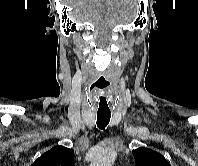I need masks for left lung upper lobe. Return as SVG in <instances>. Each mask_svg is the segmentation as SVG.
I'll return each instance as SVG.
<instances>
[{
    "instance_id": "5c2ea615",
    "label": "left lung upper lobe",
    "mask_w": 198,
    "mask_h": 166,
    "mask_svg": "<svg viewBox=\"0 0 198 166\" xmlns=\"http://www.w3.org/2000/svg\"><path fill=\"white\" fill-rule=\"evenodd\" d=\"M132 154L136 166H170L161 154L145 147L132 150Z\"/></svg>"
}]
</instances>
